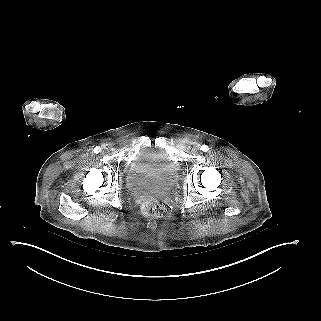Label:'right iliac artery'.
<instances>
[{
    "label": "right iliac artery",
    "instance_id": "82829eb1",
    "mask_svg": "<svg viewBox=\"0 0 321 321\" xmlns=\"http://www.w3.org/2000/svg\"><path fill=\"white\" fill-rule=\"evenodd\" d=\"M101 151V148L99 146L95 147L94 148V152L95 153H99Z\"/></svg>",
    "mask_w": 321,
    "mask_h": 321
}]
</instances>
